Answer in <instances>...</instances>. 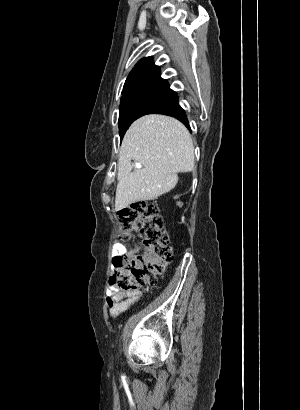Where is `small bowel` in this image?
Returning <instances> with one entry per match:
<instances>
[{
    "instance_id": "obj_1",
    "label": "small bowel",
    "mask_w": 300,
    "mask_h": 410,
    "mask_svg": "<svg viewBox=\"0 0 300 410\" xmlns=\"http://www.w3.org/2000/svg\"><path fill=\"white\" fill-rule=\"evenodd\" d=\"M126 252L127 249L123 244L115 243L113 245V254L116 255V257ZM141 295L142 293L139 290L123 293L110 289L106 298L110 316L116 318L121 313L125 312L131 305L137 303L141 299Z\"/></svg>"
}]
</instances>
